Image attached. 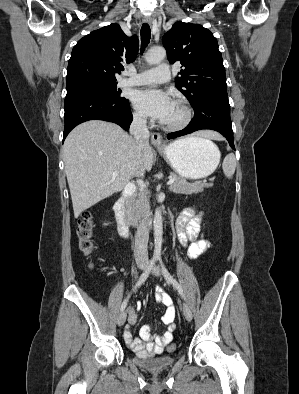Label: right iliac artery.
Masks as SVG:
<instances>
[{"label": "right iliac artery", "mask_w": 299, "mask_h": 394, "mask_svg": "<svg viewBox=\"0 0 299 394\" xmlns=\"http://www.w3.org/2000/svg\"><path fill=\"white\" fill-rule=\"evenodd\" d=\"M156 261V257H153L150 262L149 265L147 266L146 270L141 274L139 280L137 281V283L135 284V286L133 287V291L136 290L138 287L141 286V284H143L145 282V280L148 278L154 264ZM130 294L126 297V299L123 301L120 311H124V309L127 306L128 300H129Z\"/></svg>", "instance_id": "obj_1"}]
</instances>
